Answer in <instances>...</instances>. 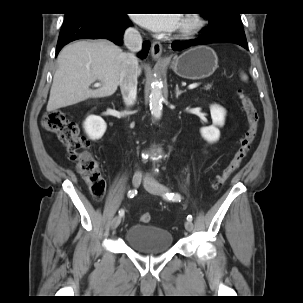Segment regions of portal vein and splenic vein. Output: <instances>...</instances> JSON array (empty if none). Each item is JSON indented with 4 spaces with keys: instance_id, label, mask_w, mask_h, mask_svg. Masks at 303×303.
Segmentation results:
<instances>
[{
    "instance_id": "obj_1",
    "label": "portal vein and splenic vein",
    "mask_w": 303,
    "mask_h": 303,
    "mask_svg": "<svg viewBox=\"0 0 303 303\" xmlns=\"http://www.w3.org/2000/svg\"><path fill=\"white\" fill-rule=\"evenodd\" d=\"M100 85H101L100 83L95 84L96 87H97V86H100ZM196 87H198V84H197V83L191 84V85L188 86L189 89H194V88H196Z\"/></svg>"
}]
</instances>
